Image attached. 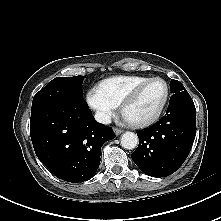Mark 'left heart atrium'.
Listing matches in <instances>:
<instances>
[{
	"label": "left heart atrium",
	"mask_w": 221,
	"mask_h": 221,
	"mask_svg": "<svg viewBox=\"0 0 221 221\" xmlns=\"http://www.w3.org/2000/svg\"><path fill=\"white\" fill-rule=\"evenodd\" d=\"M124 118H125V120L128 121V122H131V121H132V119H131L127 114L124 115Z\"/></svg>",
	"instance_id": "obj_1"
}]
</instances>
